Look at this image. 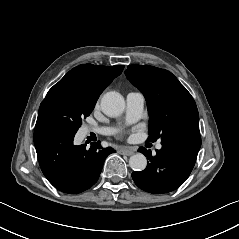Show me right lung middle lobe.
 Here are the masks:
<instances>
[{
  "mask_svg": "<svg viewBox=\"0 0 239 239\" xmlns=\"http://www.w3.org/2000/svg\"><path fill=\"white\" fill-rule=\"evenodd\" d=\"M95 104L96 100L81 96L66 84L57 83L40 105L36 126L58 124L77 132L82 119L90 115Z\"/></svg>",
  "mask_w": 239,
  "mask_h": 239,
  "instance_id": "right-lung-middle-lobe-1",
  "label": "right lung middle lobe"
}]
</instances>
